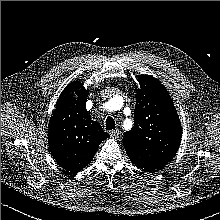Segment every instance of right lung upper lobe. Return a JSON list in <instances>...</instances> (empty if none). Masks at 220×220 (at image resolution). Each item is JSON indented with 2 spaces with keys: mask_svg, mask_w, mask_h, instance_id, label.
I'll use <instances>...</instances> for the list:
<instances>
[{
  "mask_svg": "<svg viewBox=\"0 0 220 220\" xmlns=\"http://www.w3.org/2000/svg\"><path fill=\"white\" fill-rule=\"evenodd\" d=\"M88 94L81 82L69 84L60 95L48 126L53 158L71 175L86 167L100 143L109 137L85 108Z\"/></svg>",
  "mask_w": 220,
  "mask_h": 220,
  "instance_id": "obj_1",
  "label": "right lung upper lobe"
}]
</instances>
